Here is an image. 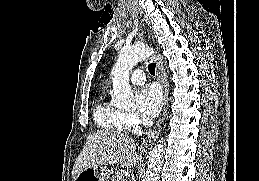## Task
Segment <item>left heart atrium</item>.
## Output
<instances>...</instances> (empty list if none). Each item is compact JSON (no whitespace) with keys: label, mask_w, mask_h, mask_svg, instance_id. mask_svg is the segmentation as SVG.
I'll list each match as a JSON object with an SVG mask.
<instances>
[{"label":"left heart atrium","mask_w":259,"mask_h":181,"mask_svg":"<svg viewBox=\"0 0 259 181\" xmlns=\"http://www.w3.org/2000/svg\"><path fill=\"white\" fill-rule=\"evenodd\" d=\"M138 113L145 119L156 117L162 107V93L158 86L142 87L136 95Z\"/></svg>","instance_id":"39dd6f15"}]
</instances>
